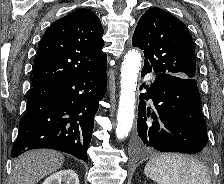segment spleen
<instances>
[{
  "label": "spleen",
  "instance_id": "1",
  "mask_svg": "<svg viewBox=\"0 0 224 184\" xmlns=\"http://www.w3.org/2000/svg\"><path fill=\"white\" fill-rule=\"evenodd\" d=\"M144 174L158 184H211L203 163L181 154L153 157L145 165Z\"/></svg>",
  "mask_w": 224,
  "mask_h": 184
}]
</instances>
